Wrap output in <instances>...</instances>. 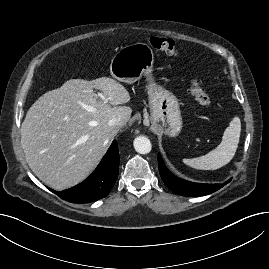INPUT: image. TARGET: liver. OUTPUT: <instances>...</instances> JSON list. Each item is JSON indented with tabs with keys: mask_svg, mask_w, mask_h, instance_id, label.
I'll return each mask as SVG.
<instances>
[{
	"mask_svg": "<svg viewBox=\"0 0 269 269\" xmlns=\"http://www.w3.org/2000/svg\"><path fill=\"white\" fill-rule=\"evenodd\" d=\"M129 101L126 88L109 77L71 79L39 97L21 125V146L33 173L55 190L83 181L130 119L132 109L123 106ZM112 117L122 124L110 127Z\"/></svg>",
	"mask_w": 269,
	"mask_h": 269,
	"instance_id": "obj_1",
	"label": "liver"
}]
</instances>
